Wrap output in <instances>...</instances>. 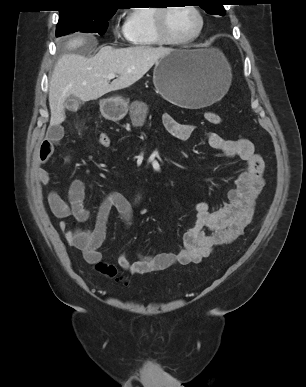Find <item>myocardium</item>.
<instances>
[{
  "label": "myocardium",
  "instance_id": "1",
  "mask_svg": "<svg viewBox=\"0 0 306 387\" xmlns=\"http://www.w3.org/2000/svg\"><path fill=\"white\" fill-rule=\"evenodd\" d=\"M187 6L196 14L198 18V27L191 36L185 39H175L171 37L167 31L166 18L171 7L163 6L155 8L153 14V27L155 35L161 44L175 46L188 45L200 37L205 26L204 15L198 6L193 4Z\"/></svg>",
  "mask_w": 306,
  "mask_h": 387
}]
</instances>
